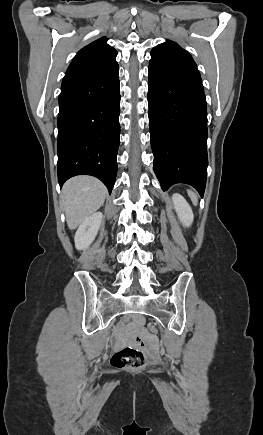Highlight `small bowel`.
Here are the masks:
<instances>
[{
	"mask_svg": "<svg viewBox=\"0 0 263 435\" xmlns=\"http://www.w3.org/2000/svg\"><path fill=\"white\" fill-rule=\"evenodd\" d=\"M136 324L143 326L145 324V319L142 316L136 318ZM144 339V341H143ZM153 332H144L143 338L141 336H134L132 338V343L137 345L140 350H146L150 361H159L161 359V354L158 352V343L153 341ZM148 341V343L146 342ZM128 342V337L124 332H119L117 335V345L122 346Z\"/></svg>",
	"mask_w": 263,
	"mask_h": 435,
	"instance_id": "obj_1",
	"label": "small bowel"
}]
</instances>
